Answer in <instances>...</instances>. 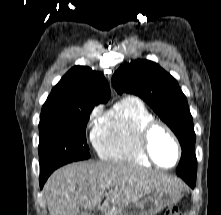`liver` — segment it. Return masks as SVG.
Segmentation results:
<instances>
[{"label": "liver", "mask_w": 221, "mask_h": 215, "mask_svg": "<svg viewBox=\"0 0 221 215\" xmlns=\"http://www.w3.org/2000/svg\"><path fill=\"white\" fill-rule=\"evenodd\" d=\"M183 187L178 178L134 164L77 162L56 170L44 192L50 215H79L100 206L104 197L121 207L155 190Z\"/></svg>", "instance_id": "liver-1"}]
</instances>
